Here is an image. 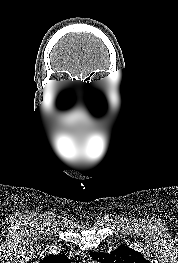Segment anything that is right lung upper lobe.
<instances>
[{
    "mask_svg": "<svg viewBox=\"0 0 178 263\" xmlns=\"http://www.w3.org/2000/svg\"><path fill=\"white\" fill-rule=\"evenodd\" d=\"M70 262L71 260H69L64 254L61 253L59 255H49L40 261V263H70Z\"/></svg>",
    "mask_w": 178,
    "mask_h": 263,
    "instance_id": "right-lung-upper-lobe-1",
    "label": "right lung upper lobe"
}]
</instances>
